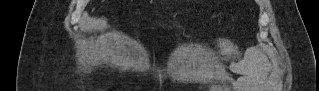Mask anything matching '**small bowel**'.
<instances>
[{
	"label": "small bowel",
	"mask_w": 319,
	"mask_h": 91,
	"mask_svg": "<svg viewBox=\"0 0 319 91\" xmlns=\"http://www.w3.org/2000/svg\"><path fill=\"white\" fill-rule=\"evenodd\" d=\"M230 68H231V70L234 71V72H240V71H241V66H240V64L237 63V62L231 63ZM255 84H256V85H259V84H260V80L256 81Z\"/></svg>",
	"instance_id": "c3829d8e"
}]
</instances>
